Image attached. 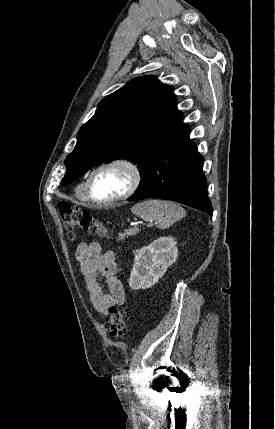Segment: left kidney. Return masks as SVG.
<instances>
[{
	"mask_svg": "<svg viewBox=\"0 0 275 429\" xmlns=\"http://www.w3.org/2000/svg\"><path fill=\"white\" fill-rule=\"evenodd\" d=\"M177 242L173 237H161L140 249L130 274L133 290L148 289L155 285L177 259Z\"/></svg>",
	"mask_w": 275,
	"mask_h": 429,
	"instance_id": "5707ae66",
	"label": "left kidney"
}]
</instances>
